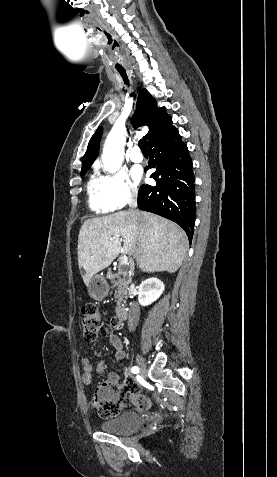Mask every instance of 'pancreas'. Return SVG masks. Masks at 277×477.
<instances>
[{
    "label": "pancreas",
    "mask_w": 277,
    "mask_h": 477,
    "mask_svg": "<svg viewBox=\"0 0 277 477\" xmlns=\"http://www.w3.org/2000/svg\"><path fill=\"white\" fill-rule=\"evenodd\" d=\"M110 278L113 283V287H117L115 297L117 298V307L119 308L121 302H124L127 297L128 286L130 279L126 277V273L119 270L117 274H111Z\"/></svg>",
    "instance_id": "obj_1"
}]
</instances>
